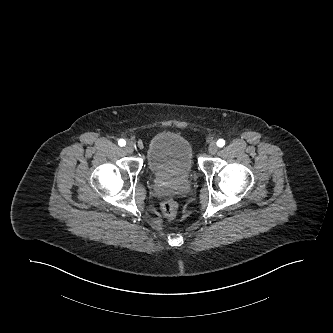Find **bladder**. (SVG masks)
Returning a JSON list of instances; mask_svg holds the SVG:
<instances>
[{"instance_id":"bladder-1","label":"bladder","mask_w":333,"mask_h":333,"mask_svg":"<svg viewBox=\"0 0 333 333\" xmlns=\"http://www.w3.org/2000/svg\"><path fill=\"white\" fill-rule=\"evenodd\" d=\"M146 160L154 178L190 177L194 170V156L189 141L174 132L156 134L148 144Z\"/></svg>"}]
</instances>
